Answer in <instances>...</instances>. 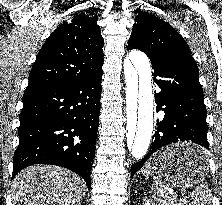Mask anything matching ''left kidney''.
I'll return each instance as SVG.
<instances>
[{
	"mask_svg": "<svg viewBox=\"0 0 222 205\" xmlns=\"http://www.w3.org/2000/svg\"><path fill=\"white\" fill-rule=\"evenodd\" d=\"M143 205H155V204L152 203L150 200H146Z\"/></svg>",
	"mask_w": 222,
	"mask_h": 205,
	"instance_id": "left-kidney-1",
	"label": "left kidney"
}]
</instances>
